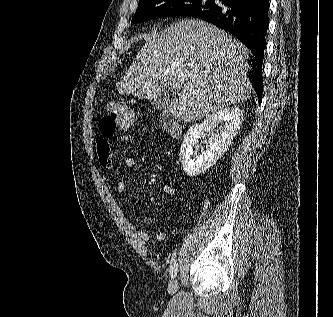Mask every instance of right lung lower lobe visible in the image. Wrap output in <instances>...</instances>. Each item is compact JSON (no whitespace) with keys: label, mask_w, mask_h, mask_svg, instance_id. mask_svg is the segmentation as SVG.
<instances>
[{"label":"right lung lower lobe","mask_w":333,"mask_h":317,"mask_svg":"<svg viewBox=\"0 0 333 317\" xmlns=\"http://www.w3.org/2000/svg\"><path fill=\"white\" fill-rule=\"evenodd\" d=\"M268 10V0H223L222 5L194 16L228 31L252 51L255 56L252 86L260 103L263 92L261 69L269 25Z\"/></svg>","instance_id":"right-lung-lower-lobe-1"}]
</instances>
